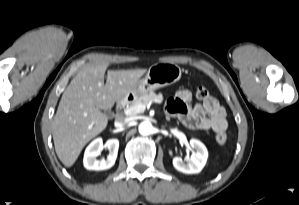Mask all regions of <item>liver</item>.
<instances>
[{
    "label": "liver",
    "instance_id": "obj_1",
    "mask_svg": "<svg viewBox=\"0 0 299 205\" xmlns=\"http://www.w3.org/2000/svg\"><path fill=\"white\" fill-rule=\"evenodd\" d=\"M108 65L93 64L82 69L63 92L54 116L52 135L60 161L71 167L84 146L108 124L101 110L124 100L146 69L108 70Z\"/></svg>",
    "mask_w": 299,
    "mask_h": 205
}]
</instances>
